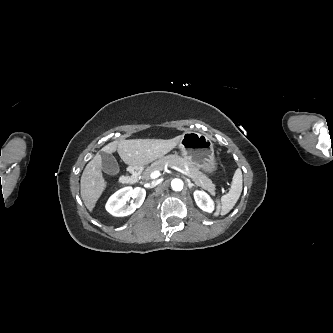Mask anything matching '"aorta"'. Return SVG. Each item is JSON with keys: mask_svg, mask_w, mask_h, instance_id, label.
Instances as JSON below:
<instances>
[{"mask_svg": "<svg viewBox=\"0 0 333 333\" xmlns=\"http://www.w3.org/2000/svg\"><path fill=\"white\" fill-rule=\"evenodd\" d=\"M183 181L181 179H173L171 181V186L174 191H181L183 189Z\"/></svg>", "mask_w": 333, "mask_h": 333, "instance_id": "aorta-1", "label": "aorta"}]
</instances>
